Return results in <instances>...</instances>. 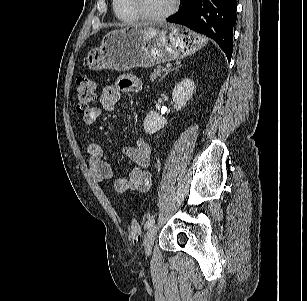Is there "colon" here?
<instances>
[{"label":"colon","mask_w":307,"mask_h":301,"mask_svg":"<svg viewBox=\"0 0 307 301\" xmlns=\"http://www.w3.org/2000/svg\"><path fill=\"white\" fill-rule=\"evenodd\" d=\"M96 83L86 76H81L76 83V103L79 113H86L96 98ZM139 225L137 221L131 217L129 221V232L131 237L139 235Z\"/></svg>","instance_id":"1"}]
</instances>
